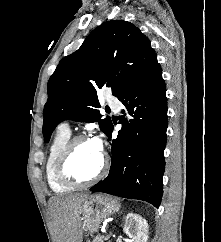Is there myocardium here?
Returning a JSON list of instances; mask_svg holds the SVG:
<instances>
[{"instance_id": "1", "label": "myocardium", "mask_w": 221, "mask_h": 242, "mask_svg": "<svg viewBox=\"0 0 221 242\" xmlns=\"http://www.w3.org/2000/svg\"><path fill=\"white\" fill-rule=\"evenodd\" d=\"M86 140H90L86 135H76L68 140L61 151L56 164V175L62 183L73 187L86 186L97 182L105 175L109 164L105 153H102V162L99 170L92 177L88 179L78 178L69 171L70 159L76 145Z\"/></svg>"}]
</instances>
